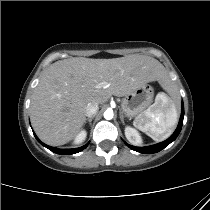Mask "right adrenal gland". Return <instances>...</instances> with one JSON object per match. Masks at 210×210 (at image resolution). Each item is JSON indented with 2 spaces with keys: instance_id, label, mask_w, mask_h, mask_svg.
I'll use <instances>...</instances> for the list:
<instances>
[{
  "instance_id": "2a0ac1e0",
  "label": "right adrenal gland",
  "mask_w": 210,
  "mask_h": 210,
  "mask_svg": "<svg viewBox=\"0 0 210 210\" xmlns=\"http://www.w3.org/2000/svg\"><path fill=\"white\" fill-rule=\"evenodd\" d=\"M93 118H94V115L91 116V117H89L88 119H86V121L89 122L90 126H91V124H92L91 122H92ZM86 121H85V123H86Z\"/></svg>"
}]
</instances>
